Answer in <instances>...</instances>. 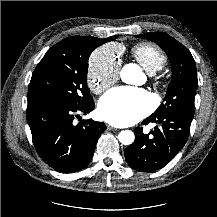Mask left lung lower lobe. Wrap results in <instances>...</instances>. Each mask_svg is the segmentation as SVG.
<instances>
[{"label": "left lung lower lobe", "instance_id": "1", "mask_svg": "<svg viewBox=\"0 0 217 217\" xmlns=\"http://www.w3.org/2000/svg\"><path fill=\"white\" fill-rule=\"evenodd\" d=\"M193 117L179 113L151 117L143 124L155 122L152 135L144 134L142 128H135V141L125 149V159L131 168L140 172H153L167 165L183 148L190 131Z\"/></svg>", "mask_w": 217, "mask_h": 217}]
</instances>
